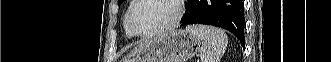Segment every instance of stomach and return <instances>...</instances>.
I'll return each instance as SVG.
<instances>
[{"label":"stomach","instance_id":"stomach-1","mask_svg":"<svg viewBox=\"0 0 331 62\" xmlns=\"http://www.w3.org/2000/svg\"><path fill=\"white\" fill-rule=\"evenodd\" d=\"M201 49V41L187 30H171L138 44L131 62H186Z\"/></svg>","mask_w":331,"mask_h":62}]
</instances>
